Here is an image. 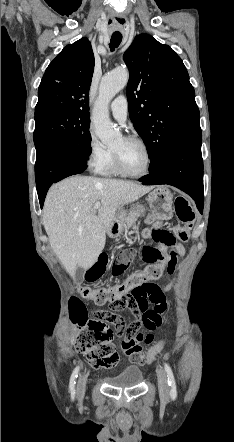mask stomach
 Wrapping results in <instances>:
<instances>
[{"label":"stomach","mask_w":234,"mask_h":442,"mask_svg":"<svg viewBox=\"0 0 234 442\" xmlns=\"http://www.w3.org/2000/svg\"><path fill=\"white\" fill-rule=\"evenodd\" d=\"M148 203L150 211L158 220H170L173 217V194L166 186H158L148 195ZM136 210L140 211V215H144L146 209L143 205L137 204ZM125 212L120 215L119 229L122 230V221Z\"/></svg>","instance_id":"1"}]
</instances>
